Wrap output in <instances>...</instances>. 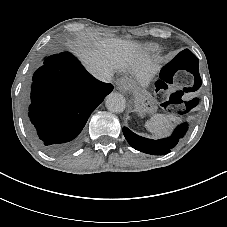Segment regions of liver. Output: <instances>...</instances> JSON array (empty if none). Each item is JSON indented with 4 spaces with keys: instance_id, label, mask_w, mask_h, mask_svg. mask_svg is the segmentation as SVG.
Instances as JSON below:
<instances>
[{
    "instance_id": "liver-1",
    "label": "liver",
    "mask_w": 227,
    "mask_h": 227,
    "mask_svg": "<svg viewBox=\"0 0 227 227\" xmlns=\"http://www.w3.org/2000/svg\"><path fill=\"white\" fill-rule=\"evenodd\" d=\"M89 46V43H83ZM76 49L78 47H72ZM97 51L84 49V52L78 50L77 53L84 60L88 70L92 74H98L105 71H112L114 68H122L126 64L131 66L137 73V81L134 82L136 88L146 87L149 83L150 74L156 70L159 61H152L137 53L139 46L135 43L121 40V39H108L96 45Z\"/></svg>"
}]
</instances>
